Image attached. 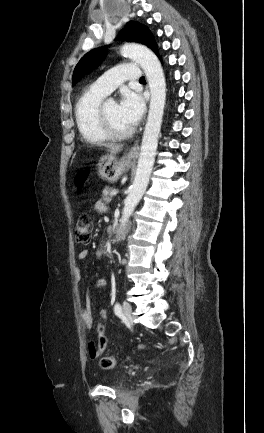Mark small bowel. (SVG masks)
Wrapping results in <instances>:
<instances>
[{
	"label": "small bowel",
	"instance_id": "c3829d8e",
	"mask_svg": "<svg viewBox=\"0 0 264 433\" xmlns=\"http://www.w3.org/2000/svg\"><path fill=\"white\" fill-rule=\"evenodd\" d=\"M95 210L98 212H105L106 211V205L104 204L103 201H97L94 205ZM88 256V251L87 250H82L78 253V259L79 260H85ZM77 278L78 280H81V272L79 270H77ZM108 282L106 281V279L104 278H97L91 287H95V288H104L107 287ZM101 317L103 319L106 318V311L102 310L101 311ZM81 319L83 324L85 325L86 328L91 329L93 327L94 324V318H93V314H92V310H91V299H90V292L89 290L87 291V293L85 294L84 298H83V302H82V307H81ZM100 349L98 344L94 343V342H90L88 344V355L91 359H97L100 356Z\"/></svg>",
	"mask_w": 264,
	"mask_h": 433
}]
</instances>
